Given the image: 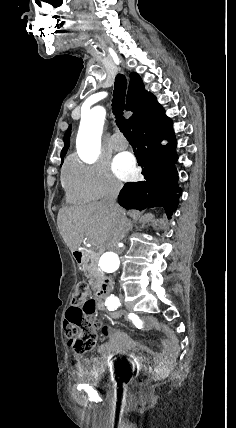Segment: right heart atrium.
<instances>
[{
	"mask_svg": "<svg viewBox=\"0 0 236 428\" xmlns=\"http://www.w3.org/2000/svg\"><path fill=\"white\" fill-rule=\"evenodd\" d=\"M67 198L81 206L86 200H114L122 191L123 184L116 179L106 162L72 159L67 164L63 181Z\"/></svg>",
	"mask_w": 236,
	"mask_h": 428,
	"instance_id": "obj_1",
	"label": "right heart atrium"
}]
</instances>
